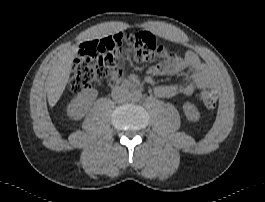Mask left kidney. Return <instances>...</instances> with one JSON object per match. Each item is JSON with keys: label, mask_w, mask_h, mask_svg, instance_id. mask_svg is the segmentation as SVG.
Returning a JSON list of instances; mask_svg holds the SVG:
<instances>
[{"label": "left kidney", "mask_w": 265, "mask_h": 202, "mask_svg": "<svg viewBox=\"0 0 265 202\" xmlns=\"http://www.w3.org/2000/svg\"><path fill=\"white\" fill-rule=\"evenodd\" d=\"M183 111L188 120L196 122L200 118V113L196 106L192 103L186 102L183 105Z\"/></svg>", "instance_id": "5707ae66"}]
</instances>
